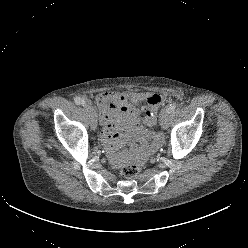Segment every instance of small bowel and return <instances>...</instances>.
Segmentation results:
<instances>
[{
  "label": "small bowel",
  "instance_id": "c3829d8e",
  "mask_svg": "<svg viewBox=\"0 0 248 248\" xmlns=\"http://www.w3.org/2000/svg\"><path fill=\"white\" fill-rule=\"evenodd\" d=\"M151 96L139 92H102L96 97V104L99 109L100 123L103 127V137L107 144V156L112 165L118 166L122 157L115 149V143L122 139L116 132V127L121 122L128 125L129 133L137 141L132 150L139 154L153 151L159 142L155 133L145 130L139 123L138 117L141 109L140 103L148 101ZM148 139H153L152 145H148Z\"/></svg>",
  "mask_w": 248,
  "mask_h": 248
}]
</instances>
